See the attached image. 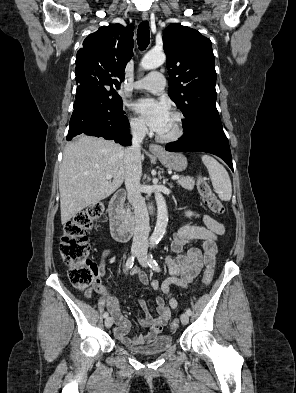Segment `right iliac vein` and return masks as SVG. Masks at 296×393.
<instances>
[{"label": "right iliac vein", "mask_w": 296, "mask_h": 393, "mask_svg": "<svg viewBox=\"0 0 296 393\" xmlns=\"http://www.w3.org/2000/svg\"><path fill=\"white\" fill-rule=\"evenodd\" d=\"M140 251V248L134 247L132 249L133 254H137ZM113 325V319L111 317H108L105 319V326L106 328H110Z\"/></svg>", "instance_id": "obj_1"}]
</instances>
